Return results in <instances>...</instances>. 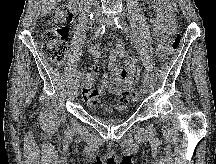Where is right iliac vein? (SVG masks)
<instances>
[{
	"mask_svg": "<svg viewBox=\"0 0 216 164\" xmlns=\"http://www.w3.org/2000/svg\"><path fill=\"white\" fill-rule=\"evenodd\" d=\"M96 22H97L98 24H102V23H104V19L98 18V19L96 20ZM78 89H79L78 81H75L74 84H73V94H74V97H77Z\"/></svg>",
	"mask_w": 216,
	"mask_h": 164,
	"instance_id": "obj_1",
	"label": "right iliac vein"
}]
</instances>
